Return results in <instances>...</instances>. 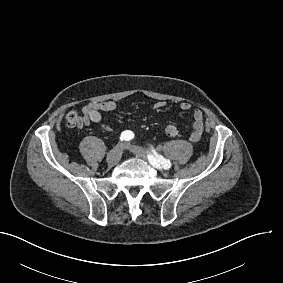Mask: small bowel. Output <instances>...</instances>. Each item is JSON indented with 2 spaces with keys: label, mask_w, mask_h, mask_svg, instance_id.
<instances>
[{
  "label": "small bowel",
  "mask_w": 283,
  "mask_h": 283,
  "mask_svg": "<svg viewBox=\"0 0 283 283\" xmlns=\"http://www.w3.org/2000/svg\"><path fill=\"white\" fill-rule=\"evenodd\" d=\"M116 108L117 104L112 100L90 102L82 108V116L79 118V125L87 126L92 122L99 123L103 119L102 112L114 111ZM153 108L156 111H162L166 108V103L163 101H156L153 104ZM179 108L183 112H188L191 110V104L184 101L179 104ZM192 119V131L189 140L196 143L201 139L204 130L203 112L200 109L193 110Z\"/></svg>",
  "instance_id": "obj_1"
}]
</instances>
